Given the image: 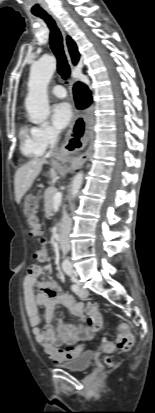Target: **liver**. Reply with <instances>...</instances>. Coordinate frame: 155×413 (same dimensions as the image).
<instances>
[{
    "mask_svg": "<svg viewBox=\"0 0 155 413\" xmlns=\"http://www.w3.org/2000/svg\"><path fill=\"white\" fill-rule=\"evenodd\" d=\"M47 163L46 158H35L18 168L14 177L15 200L19 204L24 194L32 186L34 180Z\"/></svg>",
    "mask_w": 155,
    "mask_h": 413,
    "instance_id": "6515ba94",
    "label": "liver"
}]
</instances>
